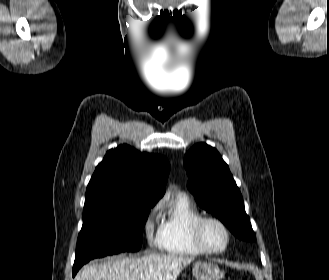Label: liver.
<instances>
[{"label":"liver","instance_id":"6515ba94","mask_svg":"<svg viewBox=\"0 0 329 280\" xmlns=\"http://www.w3.org/2000/svg\"><path fill=\"white\" fill-rule=\"evenodd\" d=\"M194 258L149 254L144 257H118L85 265L75 280H177Z\"/></svg>","mask_w":329,"mask_h":280}]
</instances>
